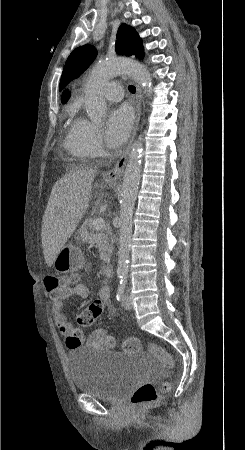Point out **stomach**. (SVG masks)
Returning <instances> with one entry per match:
<instances>
[{"instance_id": "0dacf381", "label": "stomach", "mask_w": 245, "mask_h": 450, "mask_svg": "<svg viewBox=\"0 0 245 450\" xmlns=\"http://www.w3.org/2000/svg\"><path fill=\"white\" fill-rule=\"evenodd\" d=\"M85 264L84 256L78 246L66 245L56 256L53 267L59 273H70L81 269Z\"/></svg>"}]
</instances>
